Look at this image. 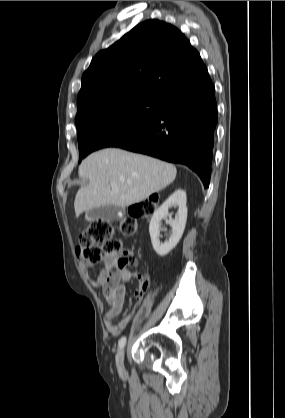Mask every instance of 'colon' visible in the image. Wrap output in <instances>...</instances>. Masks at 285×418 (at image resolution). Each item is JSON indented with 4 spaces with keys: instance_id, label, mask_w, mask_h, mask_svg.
<instances>
[{
    "instance_id": "1",
    "label": "colon",
    "mask_w": 285,
    "mask_h": 418,
    "mask_svg": "<svg viewBox=\"0 0 285 418\" xmlns=\"http://www.w3.org/2000/svg\"><path fill=\"white\" fill-rule=\"evenodd\" d=\"M154 203L140 201L130 207V215L121 222V231L125 236H132L137 232V219L147 218L154 212ZM121 249L120 242L114 238V229L107 222H93L79 234L77 247L78 258L90 264H97L104 256L118 254ZM139 259L133 256L122 257L116 260L119 269L129 270L137 267Z\"/></svg>"
}]
</instances>
